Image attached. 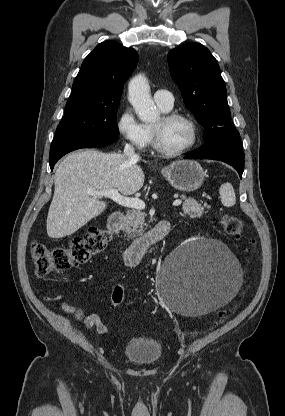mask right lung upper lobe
Returning <instances> with one entry per match:
<instances>
[{
  "label": "right lung upper lobe",
  "mask_w": 285,
  "mask_h": 416,
  "mask_svg": "<svg viewBox=\"0 0 285 416\" xmlns=\"http://www.w3.org/2000/svg\"><path fill=\"white\" fill-rule=\"evenodd\" d=\"M138 62L132 48L105 41L87 55L77 74L70 98L99 101L120 99L125 80Z\"/></svg>",
  "instance_id": "1"
}]
</instances>
